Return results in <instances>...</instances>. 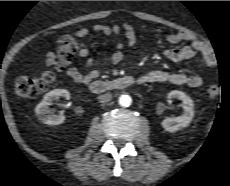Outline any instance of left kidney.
<instances>
[{"mask_svg":"<svg viewBox=\"0 0 230 186\" xmlns=\"http://www.w3.org/2000/svg\"><path fill=\"white\" fill-rule=\"evenodd\" d=\"M168 98H177L183 102L184 112L178 117H167L162 121V127L168 132H175L182 127H187L194 117L193 100L182 91L173 90L168 93Z\"/></svg>","mask_w":230,"mask_h":186,"instance_id":"left-kidney-1","label":"left kidney"}]
</instances>
